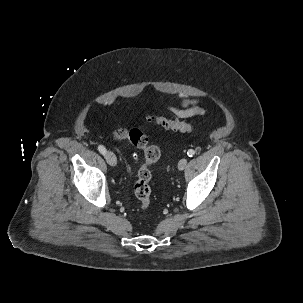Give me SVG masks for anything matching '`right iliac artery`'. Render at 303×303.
I'll return each instance as SVG.
<instances>
[{
  "instance_id": "obj_1",
  "label": "right iliac artery",
  "mask_w": 303,
  "mask_h": 303,
  "mask_svg": "<svg viewBox=\"0 0 303 303\" xmlns=\"http://www.w3.org/2000/svg\"><path fill=\"white\" fill-rule=\"evenodd\" d=\"M98 150H99V152H100L101 154H103V155L106 153V149H105V147L102 146V145H99V146H98Z\"/></svg>"
}]
</instances>
